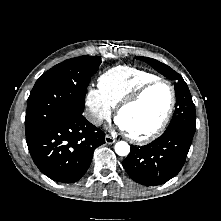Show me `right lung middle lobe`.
I'll use <instances>...</instances> for the list:
<instances>
[{
	"label": "right lung middle lobe",
	"instance_id": "dd1d6c3e",
	"mask_svg": "<svg viewBox=\"0 0 221 221\" xmlns=\"http://www.w3.org/2000/svg\"><path fill=\"white\" fill-rule=\"evenodd\" d=\"M101 64L99 56L68 59L45 72L27 100L26 139L63 117L82 115L87 86Z\"/></svg>",
	"mask_w": 221,
	"mask_h": 221
}]
</instances>
